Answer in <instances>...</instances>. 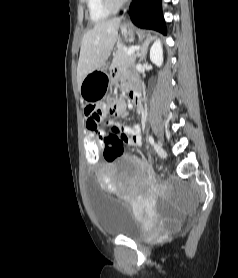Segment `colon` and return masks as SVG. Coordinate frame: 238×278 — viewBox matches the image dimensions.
Wrapping results in <instances>:
<instances>
[{"label": "colon", "mask_w": 238, "mask_h": 278, "mask_svg": "<svg viewBox=\"0 0 238 278\" xmlns=\"http://www.w3.org/2000/svg\"><path fill=\"white\" fill-rule=\"evenodd\" d=\"M85 162H98L101 156H104L107 161H113L123 153L121 142L115 144H106L105 137H97L92 130L88 131L84 141Z\"/></svg>", "instance_id": "obj_1"}]
</instances>
